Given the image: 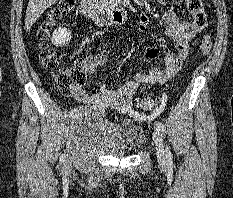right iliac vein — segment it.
I'll return each instance as SVG.
<instances>
[{"label":"right iliac vein","instance_id":"1","mask_svg":"<svg viewBox=\"0 0 233 198\" xmlns=\"http://www.w3.org/2000/svg\"><path fill=\"white\" fill-rule=\"evenodd\" d=\"M73 159H74V154H73V152L72 151H70V150H67V152H66V154H65V164L66 165H69V164H71V162L73 161Z\"/></svg>","mask_w":233,"mask_h":198}]
</instances>
